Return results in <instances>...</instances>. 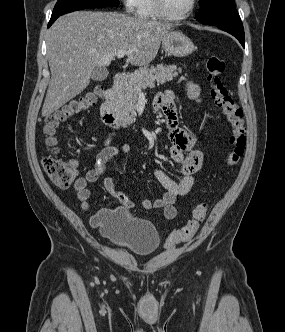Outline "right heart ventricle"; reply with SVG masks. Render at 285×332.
<instances>
[{
	"mask_svg": "<svg viewBox=\"0 0 285 332\" xmlns=\"http://www.w3.org/2000/svg\"><path fill=\"white\" fill-rule=\"evenodd\" d=\"M134 12L137 18L143 20H157L160 18L156 13L154 0H137Z\"/></svg>",
	"mask_w": 285,
	"mask_h": 332,
	"instance_id": "obj_1",
	"label": "right heart ventricle"
}]
</instances>
